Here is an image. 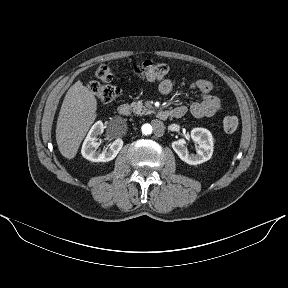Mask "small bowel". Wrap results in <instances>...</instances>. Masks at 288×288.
I'll list each match as a JSON object with an SVG mask.
<instances>
[{
  "label": "small bowel",
  "mask_w": 288,
  "mask_h": 288,
  "mask_svg": "<svg viewBox=\"0 0 288 288\" xmlns=\"http://www.w3.org/2000/svg\"><path fill=\"white\" fill-rule=\"evenodd\" d=\"M174 83L170 78H165L158 84V90L161 94H169L173 89ZM191 87L197 89L201 94L199 102L192 103L189 107L191 115L195 118L211 117L223 109L222 101L212 94L214 85L209 80L199 79L192 83ZM174 110L181 111L185 115L188 111L186 106H177Z\"/></svg>",
  "instance_id": "small-bowel-1"
}]
</instances>
